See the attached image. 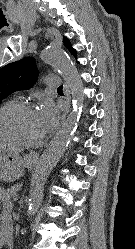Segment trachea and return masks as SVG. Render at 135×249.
I'll return each mask as SVG.
<instances>
[{"label":"trachea","mask_w":135,"mask_h":249,"mask_svg":"<svg viewBox=\"0 0 135 249\" xmlns=\"http://www.w3.org/2000/svg\"><path fill=\"white\" fill-rule=\"evenodd\" d=\"M62 89H63V86H60V87H58V91H62Z\"/></svg>","instance_id":"obj_1"}]
</instances>
